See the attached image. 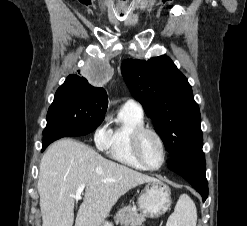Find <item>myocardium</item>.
I'll return each instance as SVG.
<instances>
[{
    "instance_id": "obj_1",
    "label": "myocardium",
    "mask_w": 247,
    "mask_h": 226,
    "mask_svg": "<svg viewBox=\"0 0 247 226\" xmlns=\"http://www.w3.org/2000/svg\"><path fill=\"white\" fill-rule=\"evenodd\" d=\"M146 133H150L152 135H154L160 145H161V149H162V160L161 163L157 166H151L149 164L146 163V161L143 159L141 152H140V140L142 138V136ZM131 149H132V153L135 157V159L145 168L148 170H158L161 167H163V165L166 162L167 159V147H166V143L164 138L162 137V135L155 129L150 128V127H146V126H142L137 128L131 136Z\"/></svg>"
}]
</instances>
